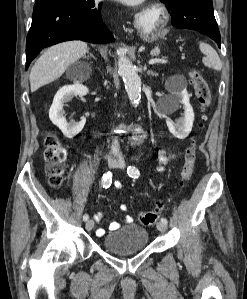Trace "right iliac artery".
Returning <instances> with one entry per match:
<instances>
[{
  "label": "right iliac artery",
  "instance_id": "right-iliac-artery-1",
  "mask_svg": "<svg viewBox=\"0 0 247 299\" xmlns=\"http://www.w3.org/2000/svg\"><path fill=\"white\" fill-rule=\"evenodd\" d=\"M111 183H112V174H111V172H107L103 175L102 186H103V188H108V187H110ZM88 219H89L88 214H84L83 220L87 221Z\"/></svg>",
  "mask_w": 247,
  "mask_h": 299
}]
</instances>
